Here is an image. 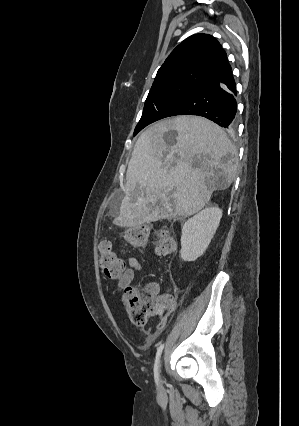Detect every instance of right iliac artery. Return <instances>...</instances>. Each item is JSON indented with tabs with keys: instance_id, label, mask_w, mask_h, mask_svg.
<instances>
[{
	"instance_id": "82829eb1",
	"label": "right iliac artery",
	"mask_w": 299,
	"mask_h": 426,
	"mask_svg": "<svg viewBox=\"0 0 299 426\" xmlns=\"http://www.w3.org/2000/svg\"><path fill=\"white\" fill-rule=\"evenodd\" d=\"M164 348V344H161L158 348H157V353H156V357H155V364H154V378H155V382L156 385L159 386V373H158V364H159V359L162 353V350Z\"/></svg>"
}]
</instances>
